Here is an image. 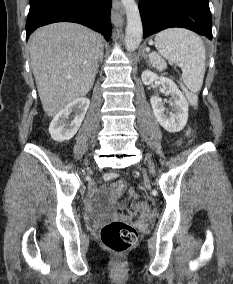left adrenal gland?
Returning <instances> with one entry per match:
<instances>
[{
    "mask_svg": "<svg viewBox=\"0 0 233 284\" xmlns=\"http://www.w3.org/2000/svg\"><path fill=\"white\" fill-rule=\"evenodd\" d=\"M142 57H144L148 62V55L146 54L145 50L142 51Z\"/></svg>",
    "mask_w": 233,
    "mask_h": 284,
    "instance_id": "obj_1",
    "label": "left adrenal gland"
}]
</instances>
